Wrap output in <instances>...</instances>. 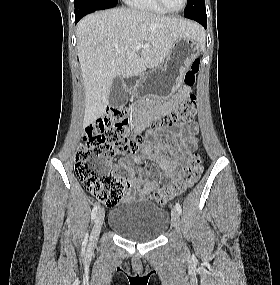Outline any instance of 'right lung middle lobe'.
I'll return each mask as SVG.
<instances>
[{
  "instance_id": "right-lung-middle-lobe-1",
  "label": "right lung middle lobe",
  "mask_w": 280,
  "mask_h": 285,
  "mask_svg": "<svg viewBox=\"0 0 280 285\" xmlns=\"http://www.w3.org/2000/svg\"><path fill=\"white\" fill-rule=\"evenodd\" d=\"M117 3L118 0H75V15H86L97 10L112 8Z\"/></svg>"
}]
</instances>
